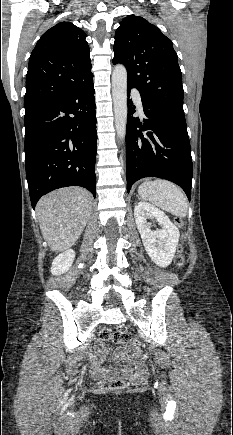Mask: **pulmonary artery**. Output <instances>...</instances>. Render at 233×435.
Returning <instances> with one entry per match:
<instances>
[{
  "mask_svg": "<svg viewBox=\"0 0 233 435\" xmlns=\"http://www.w3.org/2000/svg\"><path fill=\"white\" fill-rule=\"evenodd\" d=\"M133 97H134V100H135L137 106H138L140 109H142V102H141L140 93H139L138 91H134V92H133Z\"/></svg>",
  "mask_w": 233,
  "mask_h": 435,
  "instance_id": "e3ab8cb5",
  "label": "pulmonary artery"
}]
</instances>
